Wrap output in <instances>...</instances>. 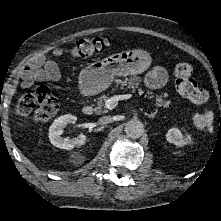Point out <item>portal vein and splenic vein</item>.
Masks as SVG:
<instances>
[{"instance_id": "1", "label": "portal vein and splenic vein", "mask_w": 221, "mask_h": 221, "mask_svg": "<svg viewBox=\"0 0 221 221\" xmlns=\"http://www.w3.org/2000/svg\"><path fill=\"white\" fill-rule=\"evenodd\" d=\"M132 96H133L132 94H122V95H115L111 98H108L105 102L106 108L113 109L117 106L118 101L130 99L132 98Z\"/></svg>"}]
</instances>
